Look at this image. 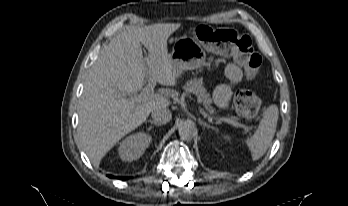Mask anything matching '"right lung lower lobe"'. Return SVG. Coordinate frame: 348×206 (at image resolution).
Wrapping results in <instances>:
<instances>
[{
    "mask_svg": "<svg viewBox=\"0 0 348 206\" xmlns=\"http://www.w3.org/2000/svg\"><path fill=\"white\" fill-rule=\"evenodd\" d=\"M108 177H111V178H115L114 176H111V175H107ZM116 178H119V177H116Z\"/></svg>",
    "mask_w": 348,
    "mask_h": 206,
    "instance_id": "obj_1",
    "label": "right lung lower lobe"
}]
</instances>
